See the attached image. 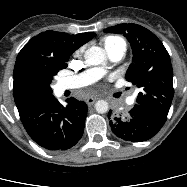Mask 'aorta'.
Wrapping results in <instances>:
<instances>
[{
	"mask_svg": "<svg viewBox=\"0 0 187 187\" xmlns=\"http://www.w3.org/2000/svg\"><path fill=\"white\" fill-rule=\"evenodd\" d=\"M84 58L88 65H101L105 64L106 62L104 50L97 46H92L88 48L85 51ZM95 109L98 113L104 114L108 111L109 106L105 100H98L95 103Z\"/></svg>",
	"mask_w": 187,
	"mask_h": 187,
	"instance_id": "1",
	"label": "aorta"
}]
</instances>
